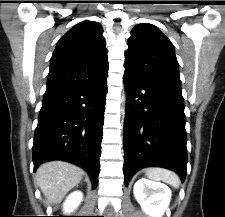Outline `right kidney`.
<instances>
[{
  "label": "right kidney",
  "instance_id": "ca27d5eb",
  "mask_svg": "<svg viewBox=\"0 0 225 217\" xmlns=\"http://www.w3.org/2000/svg\"><path fill=\"white\" fill-rule=\"evenodd\" d=\"M83 194L80 191L72 192L65 200L63 204L64 213H71L77 209L82 202Z\"/></svg>",
  "mask_w": 225,
  "mask_h": 217
}]
</instances>
